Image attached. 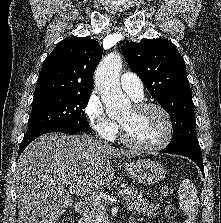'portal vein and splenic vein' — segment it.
Instances as JSON below:
<instances>
[{
	"label": "portal vein and splenic vein",
	"mask_w": 221,
	"mask_h": 223,
	"mask_svg": "<svg viewBox=\"0 0 221 223\" xmlns=\"http://www.w3.org/2000/svg\"><path fill=\"white\" fill-rule=\"evenodd\" d=\"M73 192L91 201L94 205H100L101 203H103V200L89 188L79 186L77 188H73ZM119 194L125 195L126 191L121 190Z\"/></svg>",
	"instance_id": "obj_1"
}]
</instances>
